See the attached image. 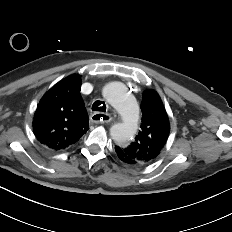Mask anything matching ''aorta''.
Masks as SVG:
<instances>
[{
	"instance_id": "aorta-1",
	"label": "aorta",
	"mask_w": 232,
	"mask_h": 232,
	"mask_svg": "<svg viewBox=\"0 0 232 232\" xmlns=\"http://www.w3.org/2000/svg\"><path fill=\"white\" fill-rule=\"evenodd\" d=\"M104 98L121 114L122 122L110 128L112 139L119 143L131 140L137 132L139 107L135 98L121 82H111L103 88Z\"/></svg>"
}]
</instances>
